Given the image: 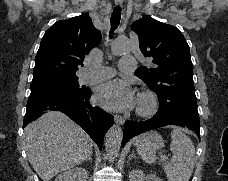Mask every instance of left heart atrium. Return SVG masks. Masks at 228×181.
I'll list each match as a JSON object with an SVG mask.
<instances>
[{
	"instance_id": "left-heart-atrium-1",
	"label": "left heart atrium",
	"mask_w": 228,
	"mask_h": 181,
	"mask_svg": "<svg viewBox=\"0 0 228 181\" xmlns=\"http://www.w3.org/2000/svg\"><path fill=\"white\" fill-rule=\"evenodd\" d=\"M99 94L108 107L123 110L131 105L132 85L125 80L113 79L102 87Z\"/></svg>"
}]
</instances>
